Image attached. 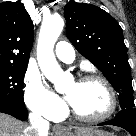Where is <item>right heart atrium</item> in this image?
Here are the masks:
<instances>
[{"label":"right heart atrium","instance_id":"obj_1","mask_svg":"<svg viewBox=\"0 0 136 136\" xmlns=\"http://www.w3.org/2000/svg\"><path fill=\"white\" fill-rule=\"evenodd\" d=\"M24 102L30 111L51 120L60 117L64 110L63 103L32 70H28L24 77Z\"/></svg>","mask_w":136,"mask_h":136}]
</instances>
